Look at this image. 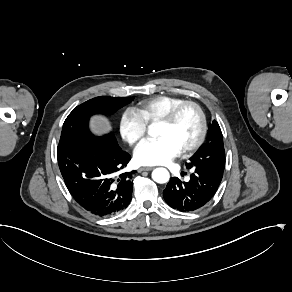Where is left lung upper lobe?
I'll list each match as a JSON object with an SVG mask.
<instances>
[{
    "instance_id": "obj_1",
    "label": "left lung upper lobe",
    "mask_w": 292,
    "mask_h": 292,
    "mask_svg": "<svg viewBox=\"0 0 292 292\" xmlns=\"http://www.w3.org/2000/svg\"><path fill=\"white\" fill-rule=\"evenodd\" d=\"M186 167L206 174L223 175L225 150L222 132L216 120L209 124L206 142L190 158Z\"/></svg>"
}]
</instances>
